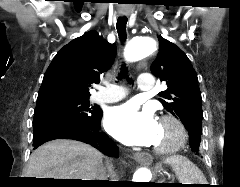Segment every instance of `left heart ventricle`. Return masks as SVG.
<instances>
[{
    "mask_svg": "<svg viewBox=\"0 0 240 187\" xmlns=\"http://www.w3.org/2000/svg\"><path fill=\"white\" fill-rule=\"evenodd\" d=\"M174 138V132L171 126L159 125V134L155 146L169 143Z\"/></svg>",
    "mask_w": 240,
    "mask_h": 187,
    "instance_id": "obj_1",
    "label": "left heart ventricle"
}]
</instances>
